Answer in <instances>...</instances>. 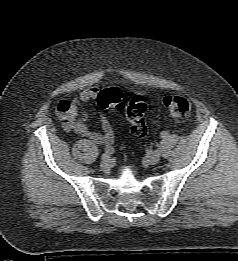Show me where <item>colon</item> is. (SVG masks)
I'll return each mask as SVG.
<instances>
[{
	"instance_id": "colon-1",
	"label": "colon",
	"mask_w": 238,
	"mask_h": 261,
	"mask_svg": "<svg viewBox=\"0 0 238 261\" xmlns=\"http://www.w3.org/2000/svg\"><path fill=\"white\" fill-rule=\"evenodd\" d=\"M98 105L107 112L124 113L130 123L131 132L137 137H146L148 127L145 113L147 109L145 98L142 95H133L124 101L123 94L116 87L101 90L97 97ZM163 104L169 114L176 120L187 119L191 110L189 99L178 95H167L163 98Z\"/></svg>"
}]
</instances>
